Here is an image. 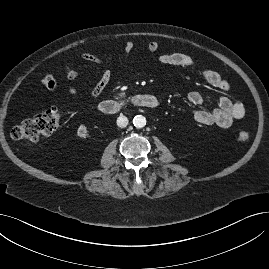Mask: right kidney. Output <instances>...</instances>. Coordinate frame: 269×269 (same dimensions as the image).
<instances>
[{
  "instance_id": "1",
  "label": "right kidney",
  "mask_w": 269,
  "mask_h": 269,
  "mask_svg": "<svg viewBox=\"0 0 269 269\" xmlns=\"http://www.w3.org/2000/svg\"><path fill=\"white\" fill-rule=\"evenodd\" d=\"M77 134H78L79 137L85 139L86 136H87V127L85 125H83V124L80 125L78 130H77Z\"/></svg>"
}]
</instances>
